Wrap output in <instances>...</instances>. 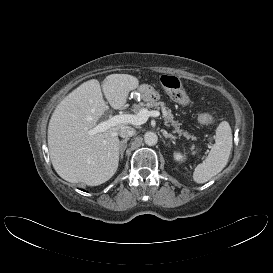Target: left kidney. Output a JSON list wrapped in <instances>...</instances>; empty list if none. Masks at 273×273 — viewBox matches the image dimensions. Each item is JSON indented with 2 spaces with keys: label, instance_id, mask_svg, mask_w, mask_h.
<instances>
[{
  "label": "left kidney",
  "instance_id": "obj_1",
  "mask_svg": "<svg viewBox=\"0 0 273 273\" xmlns=\"http://www.w3.org/2000/svg\"><path fill=\"white\" fill-rule=\"evenodd\" d=\"M174 159L176 161H182L183 160V156L180 153H175L174 154Z\"/></svg>",
  "mask_w": 273,
  "mask_h": 273
}]
</instances>
